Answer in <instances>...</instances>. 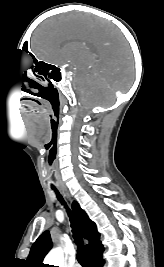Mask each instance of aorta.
<instances>
[{
  "mask_svg": "<svg viewBox=\"0 0 164 267\" xmlns=\"http://www.w3.org/2000/svg\"><path fill=\"white\" fill-rule=\"evenodd\" d=\"M63 250L60 247L51 250L45 258L46 264L63 267Z\"/></svg>",
  "mask_w": 164,
  "mask_h": 267,
  "instance_id": "aorta-1",
  "label": "aorta"
}]
</instances>
